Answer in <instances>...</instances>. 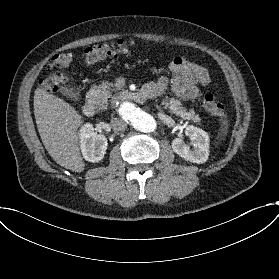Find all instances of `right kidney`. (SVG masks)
<instances>
[{"instance_id": "ca27d5eb", "label": "right kidney", "mask_w": 279, "mask_h": 279, "mask_svg": "<svg viewBox=\"0 0 279 279\" xmlns=\"http://www.w3.org/2000/svg\"><path fill=\"white\" fill-rule=\"evenodd\" d=\"M80 149L83 158L89 162H99L107 150V138L97 134L91 123L84 124L79 130Z\"/></svg>"}]
</instances>
